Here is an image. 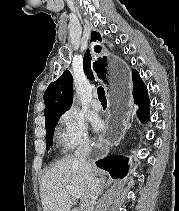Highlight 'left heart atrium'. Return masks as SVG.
<instances>
[{
    "label": "left heart atrium",
    "mask_w": 179,
    "mask_h": 211,
    "mask_svg": "<svg viewBox=\"0 0 179 211\" xmlns=\"http://www.w3.org/2000/svg\"><path fill=\"white\" fill-rule=\"evenodd\" d=\"M92 124L95 130H100L102 127V122L99 119H93Z\"/></svg>",
    "instance_id": "left-heart-atrium-1"
}]
</instances>
